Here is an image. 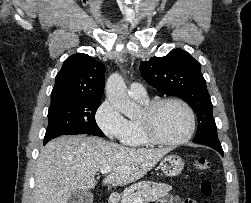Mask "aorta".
I'll use <instances>...</instances> for the list:
<instances>
[{"label": "aorta", "instance_id": "aorta-1", "mask_svg": "<svg viewBox=\"0 0 251 203\" xmlns=\"http://www.w3.org/2000/svg\"><path fill=\"white\" fill-rule=\"evenodd\" d=\"M105 91L109 102L125 116L132 118L139 113V108L128 96L125 82L119 73L109 76Z\"/></svg>", "mask_w": 251, "mask_h": 203}]
</instances>
